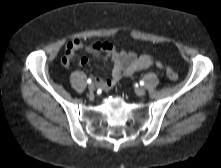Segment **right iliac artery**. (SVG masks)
I'll use <instances>...</instances> for the list:
<instances>
[{
  "mask_svg": "<svg viewBox=\"0 0 221 168\" xmlns=\"http://www.w3.org/2000/svg\"><path fill=\"white\" fill-rule=\"evenodd\" d=\"M91 82H92V80L89 78V79L87 80V83H88V84H91Z\"/></svg>",
  "mask_w": 221,
  "mask_h": 168,
  "instance_id": "1",
  "label": "right iliac artery"
}]
</instances>
